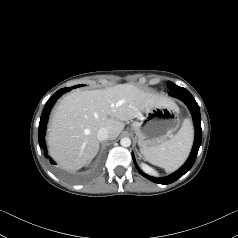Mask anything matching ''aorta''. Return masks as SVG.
Wrapping results in <instances>:
<instances>
[{
  "instance_id": "1",
  "label": "aorta",
  "mask_w": 238,
  "mask_h": 238,
  "mask_svg": "<svg viewBox=\"0 0 238 238\" xmlns=\"http://www.w3.org/2000/svg\"><path fill=\"white\" fill-rule=\"evenodd\" d=\"M120 144L123 146V147H129L131 145V139L128 138V137H124L120 140Z\"/></svg>"
}]
</instances>
